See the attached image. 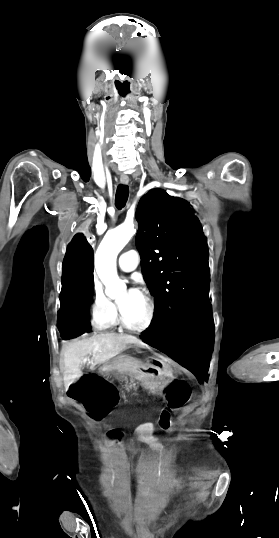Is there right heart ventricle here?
<instances>
[{
    "label": "right heart ventricle",
    "mask_w": 279,
    "mask_h": 538,
    "mask_svg": "<svg viewBox=\"0 0 279 538\" xmlns=\"http://www.w3.org/2000/svg\"><path fill=\"white\" fill-rule=\"evenodd\" d=\"M136 231H137L136 217H135L134 212L129 210L126 213L123 223L119 227L112 229L109 233H115L118 235L128 236L131 234H135ZM117 323H118V308L116 305V312L110 321V325H114Z\"/></svg>",
    "instance_id": "obj_1"
}]
</instances>
